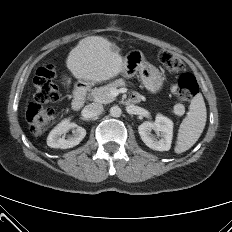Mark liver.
<instances>
[{
	"mask_svg": "<svg viewBox=\"0 0 232 232\" xmlns=\"http://www.w3.org/2000/svg\"><path fill=\"white\" fill-rule=\"evenodd\" d=\"M115 45L102 36L80 40L68 54L66 66L83 84H98L116 77L125 69V60ZM66 79L70 83L69 78Z\"/></svg>",
	"mask_w": 232,
	"mask_h": 232,
	"instance_id": "6515ba94",
	"label": "liver"
}]
</instances>
